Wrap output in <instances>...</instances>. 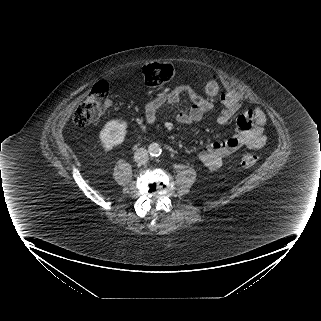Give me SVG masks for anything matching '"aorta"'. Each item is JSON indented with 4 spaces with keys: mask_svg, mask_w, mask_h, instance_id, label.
<instances>
[{
    "mask_svg": "<svg viewBox=\"0 0 321 321\" xmlns=\"http://www.w3.org/2000/svg\"><path fill=\"white\" fill-rule=\"evenodd\" d=\"M148 152L150 153V155L152 156H159L162 152L161 147L159 146V144L157 143H152L149 145L148 147Z\"/></svg>",
    "mask_w": 321,
    "mask_h": 321,
    "instance_id": "762f6f07",
    "label": "aorta"
}]
</instances>
